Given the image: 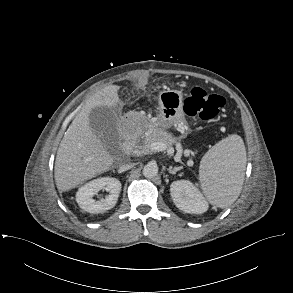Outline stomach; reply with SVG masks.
Segmentation results:
<instances>
[{
    "label": "stomach",
    "mask_w": 293,
    "mask_h": 293,
    "mask_svg": "<svg viewBox=\"0 0 293 293\" xmlns=\"http://www.w3.org/2000/svg\"><path fill=\"white\" fill-rule=\"evenodd\" d=\"M156 124L169 128L177 123L186 124L183 112V93L180 90H163L158 95Z\"/></svg>",
    "instance_id": "0dacf381"
}]
</instances>
